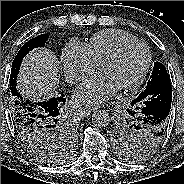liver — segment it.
<instances>
[{
	"label": "liver",
	"instance_id": "obj_1",
	"mask_svg": "<svg viewBox=\"0 0 184 184\" xmlns=\"http://www.w3.org/2000/svg\"><path fill=\"white\" fill-rule=\"evenodd\" d=\"M58 71V59L51 50H33L23 60L17 79L18 91L34 100L53 97L59 82Z\"/></svg>",
	"mask_w": 184,
	"mask_h": 184
}]
</instances>
